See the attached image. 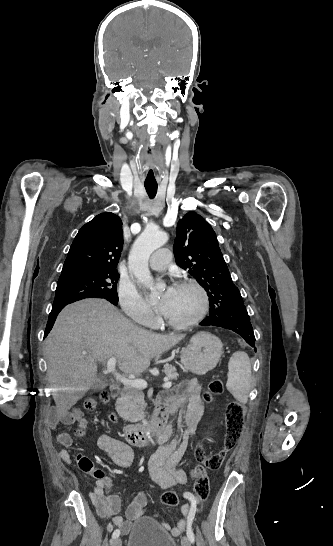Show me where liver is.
Segmentation results:
<instances>
[{
  "mask_svg": "<svg viewBox=\"0 0 333 546\" xmlns=\"http://www.w3.org/2000/svg\"><path fill=\"white\" fill-rule=\"evenodd\" d=\"M184 337L141 329L103 299H85L67 305L45 342L47 376L58 414L65 415L93 387L97 363L115 357L123 372L141 374L148 369L151 359Z\"/></svg>",
  "mask_w": 333,
  "mask_h": 546,
  "instance_id": "liver-1",
  "label": "liver"
}]
</instances>
